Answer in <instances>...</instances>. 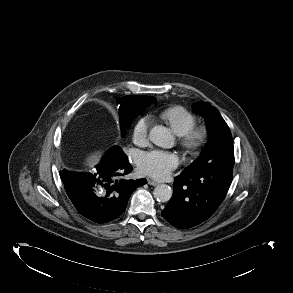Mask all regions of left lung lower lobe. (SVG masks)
Returning a JSON list of instances; mask_svg holds the SVG:
<instances>
[{
  "label": "left lung lower lobe",
  "instance_id": "1",
  "mask_svg": "<svg viewBox=\"0 0 293 293\" xmlns=\"http://www.w3.org/2000/svg\"><path fill=\"white\" fill-rule=\"evenodd\" d=\"M233 168L182 171L162 216L177 228H190L208 219L219 207L232 181Z\"/></svg>",
  "mask_w": 293,
  "mask_h": 293
}]
</instances>
